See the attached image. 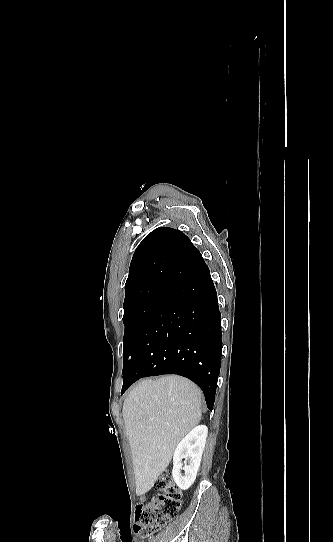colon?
I'll return each instance as SVG.
<instances>
[{"mask_svg": "<svg viewBox=\"0 0 333 542\" xmlns=\"http://www.w3.org/2000/svg\"><path fill=\"white\" fill-rule=\"evenodd\" d=\"M161 491L153 499H142L135 515V531L149 536L172 520L178 513L182 495L171 473L162 474L155 482Z\"/></svg>", "mask_w": 333, "mask_h": 542, "instance_id": "5ec220e1", "label": "colon"}]
</instances>
